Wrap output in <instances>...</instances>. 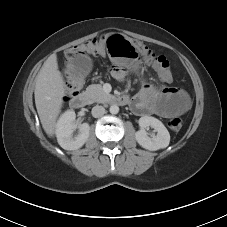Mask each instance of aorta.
I'll return each mask as SVG.
<instances>
[{
  "instance_id": "obj_1",
  "label": "aorta",
  "mask_w": 227,
  "mask_h": 227,
  "mask_svg": "<svg viewBox=\"0 0 227 227\" xmlns=\"http://www.w3.org/2000/svg\"><path fill=\"white\" fill-rule=\"evenodd\" d=\"M109 111L111 114H117L119 112V107L117 105H112L110 106Z\"/></svg>"
}]
</instances>
